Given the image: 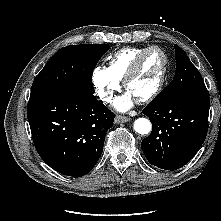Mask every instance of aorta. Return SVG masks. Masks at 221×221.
<instances>
[{"label": "aorta", "instance_id": "762f6f07", "mask_svg": "<svg viewBox=\"0 0 221 221\" xmlns=\"http://www.w3.org/2000/svg\"><path fill=\"white\" fill-rule=\"evenodd\" d=\"M134 130L139 134H148L151 130V123L146 118H138L134 122Z\"/></svg>", "mask_w": 221, "mask_h": 221}]
</instances>
